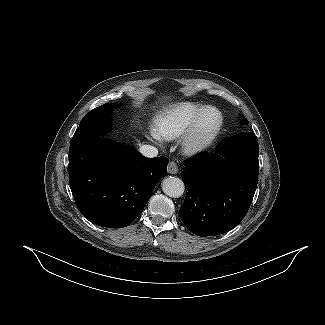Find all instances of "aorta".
Wrapping results in <instances>:
<instances>
[{
    "label": "aorta",
    "instance_id": "obj_1",
    "mask_svg": "<svg viewBox=\"0 0 325 325\" xmlns=\"http://www.w3.org/2000/svg\"><path fill=\"white\" fill-rule=\"evenodd\" d=\"M162 190L169 197L179 198L183 195L185 186L180 178L170 176L162 181Z\"/></svg>",
    "mask_w": 325,
    "mask_h": 325
}]
</instances>
